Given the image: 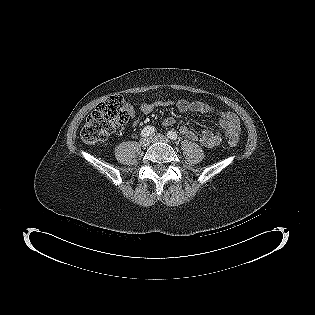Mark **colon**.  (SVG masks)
Returning a JSON list of instances; mask_svg holds the SVG:
<instances>
[{"label":"colon","mask_w":315,"mask_h":315,"mask_svg":"<svg viewBox=\"0 0 315 315\" xmlns=\"http://www.w3.org/2000/svg\"><path fill=\"white\" fill-rule=\"evenodd\" d=\"M129 113L124 99L119 95H112L101 102L89 115L81 129V139L86 144L105 141L111 133L127 123ZM231 146L235 140H229Z\"/></svg>","instance_id":"colon-1"}]
</instances>
